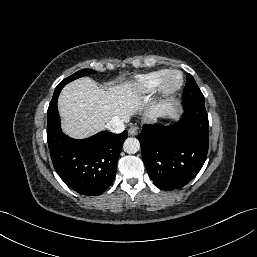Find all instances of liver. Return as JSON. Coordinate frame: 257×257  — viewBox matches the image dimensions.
I'll list each match as a JSON object with an SVG mask.
<instances>
[{"mask_svg":"<svg viewBox=\"0 0 257 257\" xmlns=\"http://www.w3.org/2000/svg\"><path fill=\"white\" fill-rule=\"evenodd\" d=\"M139 105L138 91L129 81L101 88L89 77L67 84L58 98L62 129L75 139L86 138L103 130L114 116L128 122ZM164 108L152 107L146 117L152 119Z\"/></svg>","mask_w":257,"mask_h":257,"instance_id":"liver-1","label":"liver"}]
</instances>
